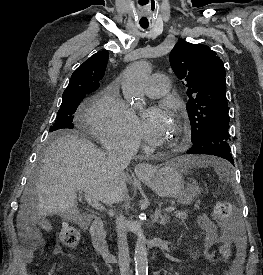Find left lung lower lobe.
Segmentation results:
<instances>
[{
    "instance_id": "0a47b994",
    "label": "left lung lower lobe",
    "mask_w": 263,
    "mask_h": 275,
    "mask_svg": "<svg viewBox=\"0 0 263 275\" xmlns=\"http://www.w3.org/2000/svg\"><path fill=\"white\" fill-rule=\"evenodd\" d=\"M229 122L218 123L197 140L193 141L192 147L187 154H208L224 158L234 164L230 153L231 141L228 132Z\"/></svg>"
}]
</instances>
